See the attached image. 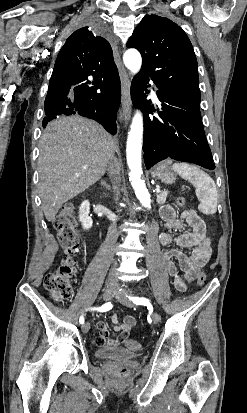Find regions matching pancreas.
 <instances>
[{
  "instance_id": "1",
  "label": "pancreas",
  "mask_w": 247,
  "mask_h": 413,
  "mask_svg": "<svg viewBox=\"0 0 247 413\" xmlns=\"http://www.w3.org/2000/svg\"><path fill=\"white\" fill-rule=\"evenodd\" d=\"M167 194H168L167 190H163V192H160V194H157L158 204H164Z\"/></svg>"
}]
</instances>
